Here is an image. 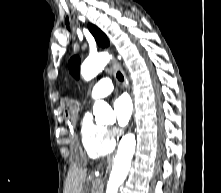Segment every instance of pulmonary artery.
<instances>
[{
    "label": "pulmonary artery",
    "mask_w": 221,
    "mask_h": 193,
    "mask_svg": "<svg viewBox=\"0 0 221 193\" xmlns=\"http://www.w3.org/2000/svg\"><path fill=\"white\" fill-rule=\"evenodd\" d=\"M113 91V83L108 77L101 78L90 93V102L107 96Z\"/></svg>",
    "instance_id": "pulmonary-artery-1"
}]
</instances>
